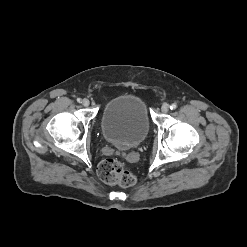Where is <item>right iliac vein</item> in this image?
Returning a JSON list of instances; mask_svg holds the SVG:
<instances>
[{"label": "right iliac vein", "mask_w": 247, "mask_h": 247, "mask_svg": "<svg viewBox=\"0 0 247 247\" xmlns=\"http://www.w3.org/2000/svg\"><path fill=\"white\" fill-rule=\"evenodd\" d=\"M89 104H90V101L87 98H85V99L82 100V105L83 106L88 107Z\"/></svg>", "instance_id": "right-iliac-vein-1"}]
</instances>
